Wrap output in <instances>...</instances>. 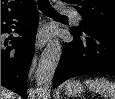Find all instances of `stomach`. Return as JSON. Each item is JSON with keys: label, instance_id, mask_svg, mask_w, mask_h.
<instances>
[{"label": "stomach", "instance_id": "0dacf381", "mask_svg": "<svg viewBox=\"0 0 115 99\" xmlns=\"http://www.w3.org/2000/svg\"><path fill=\"white\" fill-rule=\"evenodd\" d=\"M83 90V87L80 82L72 81L69 82L66 86V91L71 95L80 94Z\"/></svg>", "mask_w": 115, "mask_h": 99}]
</instances>
